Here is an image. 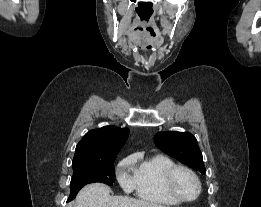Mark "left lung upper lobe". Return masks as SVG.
<instances>
[{
  "label": "left lung upper lobe",
  "mask_w": 261,
  "mask_h": 207,
  "mask_svg": "<svg viewBox=\"0 0 261 207\" xmlns=\"http://www.w3.org/2000/svg\"><path fill=\"white\" fill-rule=\"evenodd\" d=\"M154 142L163 152L205 174L206 169L196 138L189 132H158Z\"/></svg>",
  "instance_id": "1"
}]
</instances>
